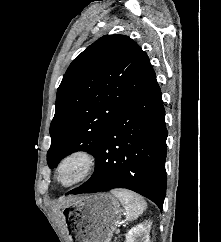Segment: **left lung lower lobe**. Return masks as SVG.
Returning a JSON list of instances; mask_svg holds the SVG:
<instances>
[{
    "instance_id": "obj_1",
    "label": "left lung lower lobe",
    "mask_w": 221,
    "mask_h": 242,
    "mask_svg": "<svg viewBox=\"0 0 221 242\" xmlns=\"http://www.w3.org/2000/svg\"><path fill=\"white\" fill-rule=\"evenodd\" d=\"M164 119L162 95L155 79L103 134L92 177L67 194L126 188L152 200L162 210L166 193Z\"/></svg>"
}]
</instances>
